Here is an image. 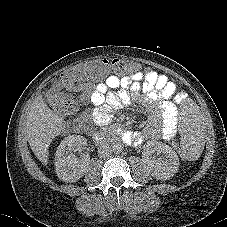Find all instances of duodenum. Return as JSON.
<instances>
[{
	"label": "duodenum",
	"mask_w": 227,
	"mask_h": 227,
	"mask_svg": "<svg viewBox=\"0 0 227 227\" xmlns=\"http://www.w3.org/2000/svg\"><path fill=\"white\" fill-rule=\"evenodd\" d=\"M93 138L95 139L96 142H104L110 140L112 137L110 134L106 132H96L93 134Z\"/></svg>",
	"instance_id": "410a0bca"
}]
</instances>
